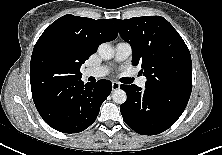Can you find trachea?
<instances>
[{
	"instance_id": "trachea-1",
	"label": "trachea",
	"mask_w": 222,
	"mask_h": 155,
	"mask_svg": "<svg viewBox=\"0 0 222 155\" xmlns=\"http://www.w3.org/2000/svg\"><path fill=\"white\" fill-rule=\"evenodd\" d=\"M132 81H133V78L124 79V83H131Z\"/></svg>"
}]
</instances>
